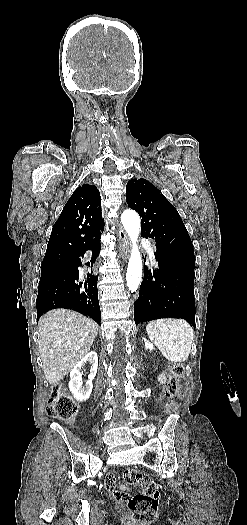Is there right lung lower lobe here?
<instances>
[{
    "label": "right lung lower lobe",
    "instance_id": "98d812e1",
    "mask_svg": "<svg viewBox=\"0 0 247 525\" xmlns=\"http://www.w3.org/2000/svg\"><path fill=\"white\" fill-rule=\"evenodd\" d=\"M87 250H92L93 264L100 251V237L68 256L65 264L41 271L36 300L37 320L48 310L66 308L80 312L100 323L98 277L89 274L84 283L79 282L78 268L82 266L80 257H83Z\"/></svg>",
    "mask_w": 247,
    "mask_h": 525
}]
</instances>
